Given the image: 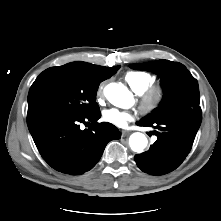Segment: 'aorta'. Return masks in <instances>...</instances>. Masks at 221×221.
Segmentation results:
<instances>
[{
	"label": "aorta",
	"mask_w": 221,
	"mask_h": 221,
	"mask_svg": "<svg viewBox=\"0 0 221 221\" xmlns=\"http://www.w3.org/2000/svg\"><path fill=\"white\" fill-rule=\"evenodd\" d=\"M104 94L111 104L119 108H127L132 102V94L123 84H108L104 88ZM147 144V137L142 133H133L129 138L130 148L134 152H142L147 147Z\"/></svg>",
	"instance_id": "762f6f07"
}]
</instances>
